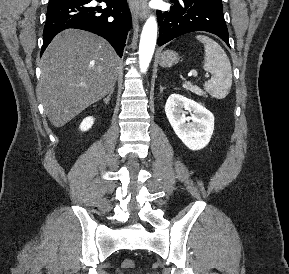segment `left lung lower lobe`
<instances>
[{
    "mask_svg": "<svg viewBox=\"0 0 289 274\" xmlns=\"http://www.w3.org/2000/svg\"><path fill=\"white\" fill-rule=\"evenodd\" d=\"M169 11H157L160 27L158 45L183 34L207 31L220 37L229 47V36L222 2L217 0H170Z\"/></svg>",
    "mask_w": 289,
    "mask_h": 274,
    "instance_id": "0a47b994",
    "label": "left lung lower lobe"
}]
</instances>
